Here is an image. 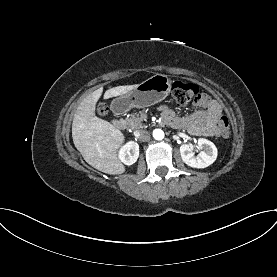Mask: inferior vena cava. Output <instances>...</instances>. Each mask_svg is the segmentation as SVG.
<instances>
[{"label": "inferior vena cava", "instance_id": "obj_1", "mask_svg": "<svg viewBox=\"0 0 277 277\" xmlns=\"http://www.w3.org/2000/svg\"><path fill=\"white\" fill-rule=\"evenodd\" d=\"M135 137L142 141V142H145V141H148L150 139V133L146 130H139V131H136L135 132Z\"/></svg>", "mask_w": 277, "mask_h": 277}]
</instances>
